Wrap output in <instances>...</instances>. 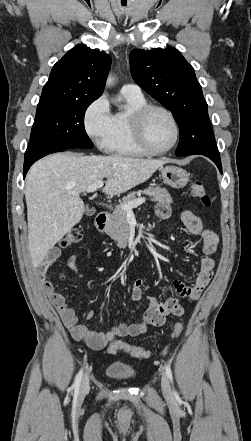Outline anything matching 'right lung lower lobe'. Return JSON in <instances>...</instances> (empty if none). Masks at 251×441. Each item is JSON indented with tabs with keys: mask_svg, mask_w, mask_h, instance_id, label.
<instances>
[{
	"mask_svg": "<svg viewBox=\"0 0 251 441\" xmlns=\"http://www.w3.org/2000/svg\"><path fill=\"white\" fill-rule=\"evenodd\" d=\"M68 150V148L58 147L49 144H42L37 142H30L24 156V171L23 176L25 178L27 171L31 165L38 159L54 153Z\"/></svg>",
	"mask_w": 251,
	"mask_h": 441,
	"instance_id": "right-lung-lower-lobe-1",
	"label": "right lung lower lobe"
}]
</instances>
